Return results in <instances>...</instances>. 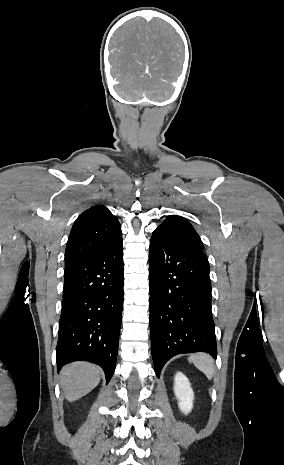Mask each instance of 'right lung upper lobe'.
<instances>
[{"instance_id": "right-lung-upper-lobe-1", "label": "right lung upper lobe", "mask_w": 284, "mask_h": 465, "mask_svg": "<svg viewBox=\"0 0 284 465\" xmlns=\"http://www.w3.org/2000/svg\"><path fill=\"white\" fill-rule=\"evenodd\" d=\"M117 218L103 205L84 211L73 224L65 251L66 268L81 264L109 249L121 237Z\"/></svg>"}]
</instances>
